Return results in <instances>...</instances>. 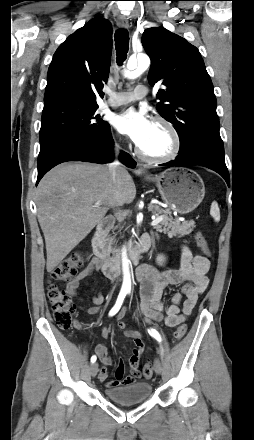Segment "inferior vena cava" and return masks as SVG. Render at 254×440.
Segmentation results:
<instances>
[{"label":"inferior vena cava","mask_w":254,"mask_h":440,"mask_svg":"<svg viewBox=\"0 0 254 440\" xmlns=\"http://www.w3.org/2000/svg\"><path fill=\"white\" fill-rule=\"evenodd\" d=\"M118 154H119V148H118V146H116L115 147L116 157L118 156ZM108 168H109V172L113 176V179H115L117 172L121 169L120 162L118 161V159L116 158L113 162H111L108 165Z\"/></svg>","instance_id":"602c4592"}]
</instances>
